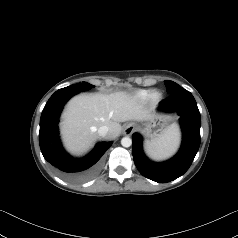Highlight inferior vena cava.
<instances>
[{"label":"inferior vena cava","instance_id":"602c4592","mask_svg":"<svg viewBox=\"0 0 238 238\" xmlns=\"http://www.w3.org/2000/svg\"><path fill=\"white\" fill-rule=\"evenodd\" d=\"M109 128L107 126H101L98 128L97 132L100 136H106L108 134Z\"/></svg>","mask_w":238,"mask_h":238}]
</instances>
